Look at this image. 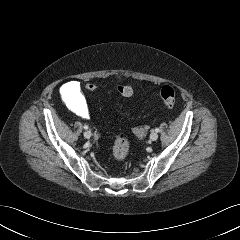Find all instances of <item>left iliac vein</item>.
I'll return each instance as SVG.
<instances>
[{
  "mask_svg": "<svg viewBox=\"0 0 240 240\" xmlns=\"http://www.w3.org/2000/svg\"><path fill=\"white\" fill-rule=\"evenodd\" d=\"M158 139V134L156 132H152L150 134V140L156 141Z\"/></svg>",
  "mask_w": 240,
  "mask_h": 240,
  "instance_id": "4c4485c4",
  "label": "left iliac vein"
}]
</instances>
